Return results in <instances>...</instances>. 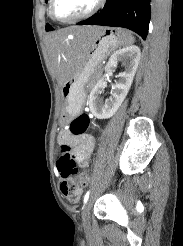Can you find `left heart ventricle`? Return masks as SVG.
Here are the masks:
<instances>
[{
	"label": "left heart ventricle",
	"instance_id": "left-heart-ventricle-1",
	"mask_svg": "<svg viewBox=\"0 0 183 246\" xmlns=\"http://www.w3.org/2000/svg\"><path fill=\"white\" fill-rule=\"evenodd\" d=\"M96 0H56L54 12L58 18L76 17L88 11Z\"/></svg>",
	"mask_w": 183,
	"mask_h": 246
}]
</instances>
